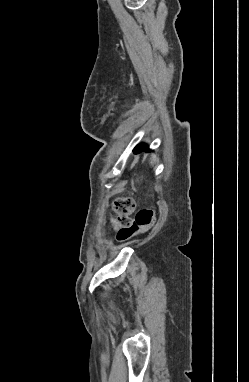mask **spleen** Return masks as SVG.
<instances>
[{
  "label": "spleen",
  "mask_w": 249,
  "mask_h": 382,
  "mask_svg": "<svg viewBox=\"0 0 249 382\" xmlns=\"http://www.w3.org/2000/svg\"><path fill=\"white\" fill-rule=\"evenodd\" d=\"M155 159V157H152V160H154ZM151 163H152V161H151Z\"/></svg>",
  "instance_id": "spleen-1"
}]
</instances>
